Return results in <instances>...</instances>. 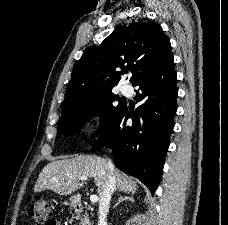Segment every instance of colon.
<instances>
[{
  "label": "colon",
  "instance_id": "obj_1",
  "mask_svg": "<svg viewBox=\"0 0 228 225\" xmlns=\"http://www.w3.org/2000/svg\"><path fill=\"white\" fill-rule=\"evenodd\" d=\"M28 213L39 225H57L50 218V203L44 199H34L28 205Z\"/></svg>",
  "mask_w": 228,
  "mask_h": 225
}]
</instances>
